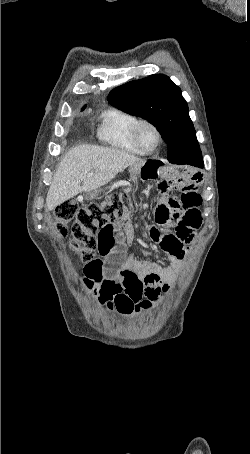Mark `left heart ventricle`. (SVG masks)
Segmentation results:
<instances>
[{
	"label": "left heart ventricle",
	"mask_w": 250,
	"mask_h": 454,
	"mask_svg": "<svg viewBox=\"0 0 250 454\" xmlns=\"http://www.w3.org/2000/svg\"><path fill=\"white\" fill-rule=\"evenodd\" d=\"M139 136L141 143L146 149H152L155 146L157 138L152 128L143 126L140 129Z\"/></svg>",
	"instance_id": "obj_1"
}]
</instances>
